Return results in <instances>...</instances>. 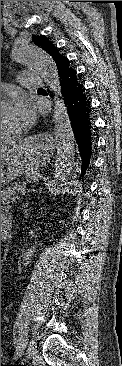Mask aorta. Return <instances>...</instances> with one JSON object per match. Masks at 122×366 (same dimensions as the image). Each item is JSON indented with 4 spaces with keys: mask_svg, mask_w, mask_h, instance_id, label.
Listing matches in <instances>:
<instances>
[{
    "mask_svg": "<svg viewBox=\"0 0 122 366\" xmlns=\"http://www.w3.org/2000/svg\"><path fill=\"white\" fill-rule=\"evenodd\" d=\"M12 59L17 64L37 72L54 94L53 131L57 154L52 189L57 191L75 167L76 144L68 108L61 92L56 63L45 50L30 43L16 44L12 49Z\"/></svg>",
    "mask_w": 122,
    "mask_h": 366,
    "instance_id": "1",
    "label": "aorta"
}]
</instances>
